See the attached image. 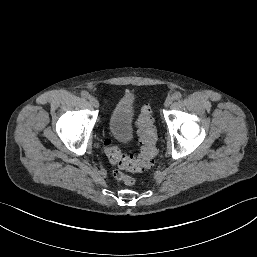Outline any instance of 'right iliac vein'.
Segmentation results:
<instances>
[{"label":"right iliac vein","instance_id":"1","mask_svg":"<svg viewBox=\"0 0 257 257\" xmlns=\"http://www.w3.org/2000/svg\"><path fill=\"white\" fill-rule=\"evenodd\" d=\"M89 101H90V103H91L95 108H97V107L99 106V102H98V100H97L95 97L90 96V97H89Z\"/></svg>","mask_w":257,"mask_h":257}]
</instances>
